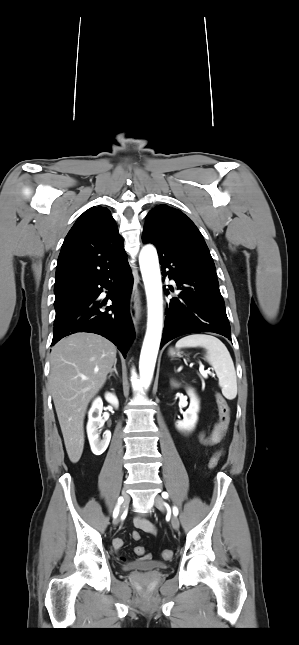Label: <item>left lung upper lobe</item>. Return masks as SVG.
Listing matches in <instances>:
<instances>
[{
    "instance_id": "1",
    "label": "left lung upper lobe",
    "mask_w": 299,
    "mask_h": 645,
    "mask_svg": "<svg viewBox=\"0 0 299 645\" xmlns=\"http://www.w3.org/2000/svg\"><path fill=\"white\" fill-rule=\"evenodd\" d=\"M142 240L161 243L181 240L210 253L203 236L191 219L180 210L167 205H159L149 211Z\"/></svg>"
}]
</instances>
